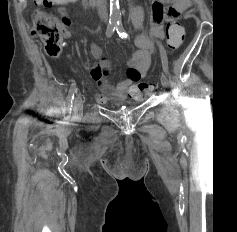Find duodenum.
I'll return each mask as SVG.
<instances>
[{
	"mask_svg": "<svg viewBox=\"0 0 237 232\" xmlns=\"http://www.w3.org/2000/svg\"><path fill=\"white\" fill-rule=\"evenodd\" d=\"M83 4L86 6H94L98 3L99 0H82Z\"/></svg>",
	"mask_w": 237,
	"mask_h": 232,
	"instance_id": "410a0bca",
	"label": "duodenum"
}]
</instances>
